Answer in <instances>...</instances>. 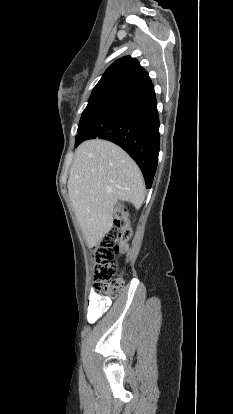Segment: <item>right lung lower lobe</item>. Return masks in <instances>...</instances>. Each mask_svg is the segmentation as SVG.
<instances>
[{
    "instance_id": "1",
    "label": "right lung lower lobe",
    "mask_w": 233,
    "mask_h": 414,
    "mask_svg": "<svg viewBox=\"0 0 233 414\" xmlns=\"http://www.w3.org/2000/svg\"><path fill=\"white\" fill-rule=\"evenodd\" d=\"M159 119L154 86L147 75L94 106L78 127L75 146L87 139L109 140L140 167L151 188L159 153Z\"/></svg>"
}]
</instances>
